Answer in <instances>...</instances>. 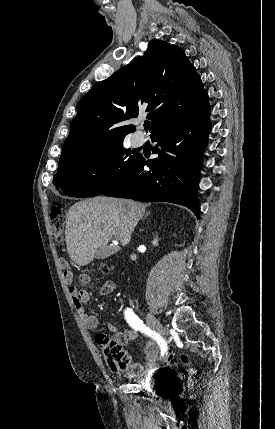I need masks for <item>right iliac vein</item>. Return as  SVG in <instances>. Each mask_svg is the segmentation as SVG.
<instances>
[{"mask_svg":"<svg viewBox=\"0 0 275 429\" xmlns=\"http://www.w3.org/2000/svg\"><path fill=\"white\" fill-rule=\"evenodd\" d=\"M146 320H147V324L149 325V327H151L158 334H160V335L166 334V329L162 326V324L151 313H147Z\"/></svg>","mask_w":275,"mask_h":429,"instance_id":"63e3f726","label":"right iliac vein"}]
</instances>
